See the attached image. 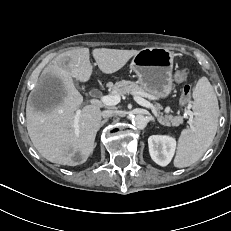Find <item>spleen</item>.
<instances>
[{
    "label": "spleen",
    "mask_w": 231,
    "mask_h": 231,
    "mask_svg": "<svg viewBox=\"0 0 231 231\" xmlns=\"http://www.w3.org/2000/svg\"><path fill=\"white\" fill-rule=\"evenodd\" d=\"M194 119L181 132L174 158L177 168L197 162L211 145L218 126L219 106L212 85L206 77L198 79L193 90Z\"/></svg>",
    "instance_id": "3e777b00"
}]
</instances>
